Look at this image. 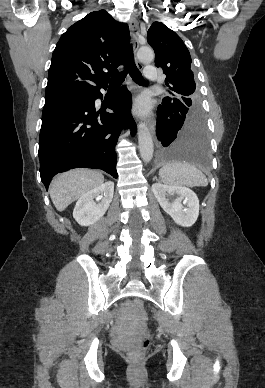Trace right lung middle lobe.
<instances>
[{"label": "right lung middle lobe", "mask_w": 265, "mask_h": 388, "mask_svg": "<svg viewBox=\"0 0 265 388\" xmlns=\"http://www.w3.org/2000/svg\"><path fill=\"white\" fill-rule=\"evenodd\" d=\"M71 98H74V97L60 98V99H53V100H45V105H44L43 109L49 108V107H51L53 105H56V104H58L60 102L66 101V100L71 99Z\"/></svg>", "instance_id": "dd1d6c3e"}]
</instances>
